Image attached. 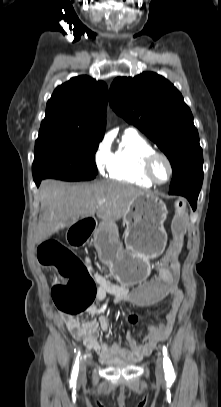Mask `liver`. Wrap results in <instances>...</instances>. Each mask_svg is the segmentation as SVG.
Here are the masks:
<instances>
[{
  "label": "liver",
  "mask_w": 221,
  "mask_h": 407,
  "mask_svg": "<svg viewBox=\"0 0 221 407\" xmlns=\"http://www.w3.org/2000/svg\"><path fill=\"white\" fill-rule=\"evenodd\" d=\"M39 193L41 214L34 233L37 244L57 232L62 224L72 225L80 217L96 214L103 222L113 225L124 216L136 196L146 194L118 182L71 185L52 179L42 181ZM99 200H105V203L99 205Z\"/></svg>",
  "instance_id": "1"
}]
</instances>
